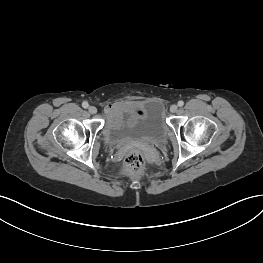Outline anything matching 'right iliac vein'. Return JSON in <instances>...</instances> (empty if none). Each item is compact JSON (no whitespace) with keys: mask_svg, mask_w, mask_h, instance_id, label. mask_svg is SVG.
I'll use <instances>...</instances> for the list:
<instances>
[{"mask_svg":"<svg viewBox=\"0 0 263 263\" xmlns=\"http://www.w3.org/2000/svg\"><path fill=\"white\" fill-rule=\"evenodd\" d=\"M88 111L90 114H96L97 109L94 106H89Z\"/></svg>","mask_w":263,"mask_h":263,"instance_id":"right-iliac-vein-1","label":"right iliac vein"}]
</instances>
